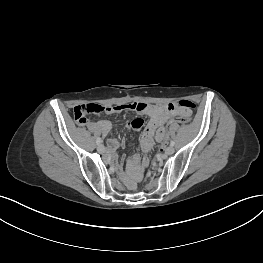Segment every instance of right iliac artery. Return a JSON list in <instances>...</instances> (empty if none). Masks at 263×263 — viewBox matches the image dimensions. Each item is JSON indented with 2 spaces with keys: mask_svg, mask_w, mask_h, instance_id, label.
I'll return each instance as SVG.
<instances>
[{
  "mask_svg": "<svg viewBox=\"0 0 263 263\" xmlns=\"http://www.w3.org/2000/svg\"><path fill=\"white\" fill-rule=\"evenodd\" d=\"M102 142L101 138H97L96 143L99 145Z\"/></svg>",
  "mask_w": 263,
  "mask_h": 263,
  "instance_id": "82829eb1",
  "label": "right iliac artery"
}]
</instances>
